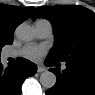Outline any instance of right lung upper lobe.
Instances as JSON below:
<instances>
[{
	"label": "right lung upper lobe",
	"instance_id": "1",
	"mask_svg": "<svg viewBox=\"0 0 95 95\" xmlns=\"http://www.w3.org/2000/svg\"><path fill=\"white\" fill-rule=\"evenodd\" d=\"M33 9L0 4V46L12 44L15 27L28 19Z\"/></svg>",
	"mask_w": 95,
	"mask_h": 95
}]
</instances>
